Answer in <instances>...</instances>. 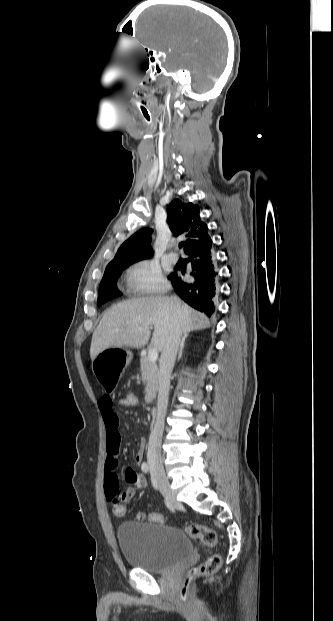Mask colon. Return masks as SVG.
<instances>
[{"label":"colon","instance_id":"1","mask_svg":"<svg viewBox=\"0 0 333 621\" xmlns=\"http://www.w3.org/2000/svg\"><path fill=\"white\" fill-rule=\"evenodd\" d=\"M121 405L131 409L135 408L139 405V397L137 393L133 390H128L121 398ZM113 513L116 516H123L125 513L124 506L117 505L113 508ZM139 519H146L150 522L154 523H164L165 519L162 515L157 513H151L147 516L143 514L138 515ZM187 533L190 537L198 539L203 545L214 548L217 546L218 539L216 532L204 525L201 524H190L187 527ZM221 565V557L218 554H213L207 558L205 562L200 564L197 567L192 568L180 589L179 597L180 600L186 602L189 597V590L192 581L199 577H204L215 573Z\"/></svg>","mask_w":333,"mask_h":621}]
</instances>
